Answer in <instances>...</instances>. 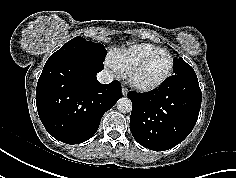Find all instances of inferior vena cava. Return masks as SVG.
I'll return each mask as SVG.
<instances>
[{
	"instance_id": "obj_1",
	"label": "inferior vena cava",
	"mask_w": 236,
	"mask_h": 178,
	"mask_svg": "<svg viewBox=\"0 0 236 178\" xmlns=\"http://www.w3.org/2000/svg\"><path fill=\"white\" fill-rule=\"evenodd\" d=\"M113 79V75L108 70H102L97 74V80L102 84L111 83Z\"/></svg>"
}]
</instances>
